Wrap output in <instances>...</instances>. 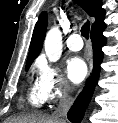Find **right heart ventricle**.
I'll return each instance as SVG.
<instances>
[{
	"label": "right heart ventricle",
	"mask_w": 118,
	"mask_h": 123,
	"mask_svg": "<svg viewBox=\"0 0 118 123\" xmlns=\"http://www.w3.org/2000/svg\"><path fill=\"white\" fill-rule=\"evenodd\" d=\"M28 99L29 102L35 107H40L45 103L46 99L43 96L37 82L30 87Z\"/></svg>",
	"instance_id": "e07e8e85"
}]
</instances>
